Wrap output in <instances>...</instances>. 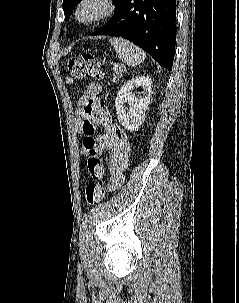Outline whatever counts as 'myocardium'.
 Wrapping results in <instances>:
<instances>
[{"instance_id": "1", "label": "myocardium", "mask_w": 239, "mask_h": 303, "mask_svg": "<svg viewBox=\"0 0 239 303\" xmlns=\"http://www.w3.org/2000/svg\"><path fill=\"white\" fill-rule=\"evenodd\" d=\"M88 4L97 6V11L88 17L84 16V10ZM117 5L115 0H80L74 10L75 20L83 25L93 24L114 15Z\"/></svg>"}]
</instances>
